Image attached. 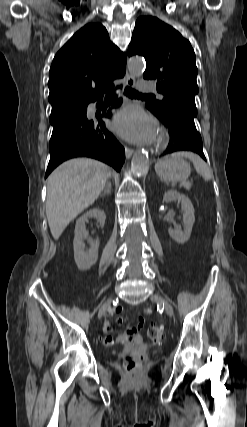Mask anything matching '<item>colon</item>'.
I'll return each mask as SVG.
<instances>
[{
	"mask_svg": "<svg viewBox=\"0 0 247 427\" xmlns=\"http://www.w3.org/2000/svg\"><path fill=\"white\" fill-rule=\"evenodd\" d=\"M147 336L153 341H161L165 336V331L160 326L151 325L147 329ZM139 363V359L133 355H126L124 358V365L130 372L135 371Z\"/></svg>",
	"mask_w": 247,
	"mask_h": 427,
	"instance_id": "5ec220e1",
	"label": "colon"
}]
</instances>
